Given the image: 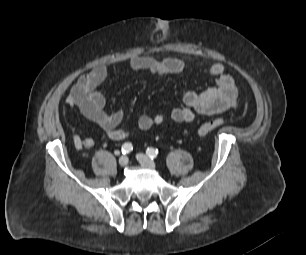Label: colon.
I'll return each instance as SVG.
<instances>
[{
  "mask_svg": "<svg viewBox=\"0 0 306 255\" xmlns=\"http://www.w3.org/2000/svg\"><path fill=\"white\" fill-rule=\"evenodd\" d=\"M224 124L223 119H215V120H210V121H205L200 124L198 128V134L199 136H205L211 131L219 128ZM79 146H81V143H78Z\"/></svg>",
  "mask_w": 306,
  "mask_h": 255,
  "instance_id": "5ec220e1",
  "label": "colon"
}]
</instances>
